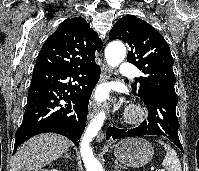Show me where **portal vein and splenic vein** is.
<instances>
[{"instance_id": "portal-vein-and-splenic-vein-1", "label": "portal vein and splenic vein", "mask_w": 199, "mask_h": 171, "mask_svg": "<svg viewBox=\"0 0 199 171\" xmlns=\"http://www.w3.org/2000/svg\"><path fill=\"white\" fill-rule=\"evenodd\" d=\"M153 170H155V171H165L164 168H153Z\"/></svg>"}]
</instances>
